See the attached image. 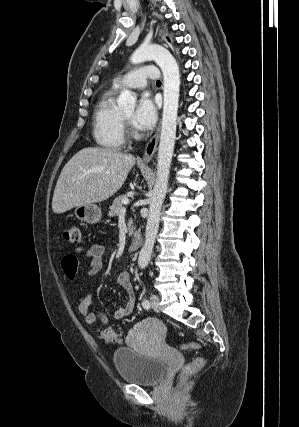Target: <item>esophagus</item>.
<instances>
[{
    "mask_svg": "<svg viewBox=\"0 0 299 427\" xmlns=\"http://www.w3.org/2000/svg\"><path fill=\"white\" fill-rule=\"evenodd\" d=\"M159 135H160V124L157 127L155 134L148 141V143L145 147L144 156H143L144 163H149L151 161V159L153 158V156L156 152V149H157Z\"/></svg>",
    "mask_w": 299,
    "mask_h": 427,
    "instance_id": "obj_1",
    "label": "esophagus"
}]
</instances>
